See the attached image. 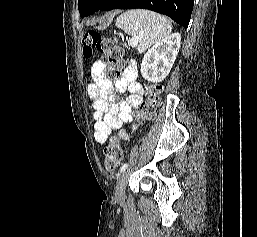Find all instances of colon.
Returning <instances> with one entry per match:
<instances>
[{
    "instance_id": "colon-1",
    "label": "colon",
    "mask_w": 257,
    "mask_h": 237,
    "mask_svg": "<svg viewBox=\"0 0 257 237\" xmlns=\"http://www.w3.org/2000/svg\"><path fill=\"white\" fill-rule=\"evenodd\" d=\"M94 50L101 54L103 61L108 64V76L111 79H118L123 67L124 49L118 46L114 38L104 36L96 30H90L84 37V56L91 57ZM161 92L160 85H152L149 88L148 98L141 104L136 122L132 126L133 131L137 130L145 121L154 119L156 109L161 104ZM128 139L129 133L126 131H120L117 136L111 138L105 150L104 166L106 170L112 172L119 167L123 160L120 141Z\"/></svg>"
}]
</instances>
